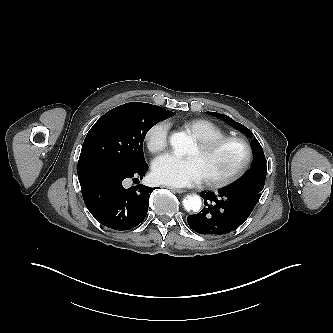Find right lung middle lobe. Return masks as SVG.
<instances>
[{
    "mask_svg": "<svg viewBox=\"0 0 333 333\" xmlns=\"http://www.w3.org/2000/svg\"><path fill=\"white\" fill-rule=\"evenodd\" d=\"M175 115L156 105L130 102L105 113L89 130L78 163L112 161L129 168L145 164L143 141L157 122Z\"/></svg>",
    "mask_w": 333,
    "mask_h": 333,
    "instance_id": "obj_1",
    "label": "right lung middle lobe"
}]
</instances>
